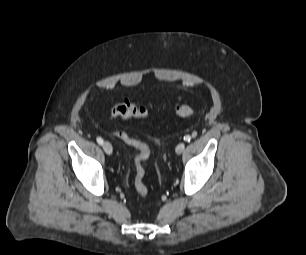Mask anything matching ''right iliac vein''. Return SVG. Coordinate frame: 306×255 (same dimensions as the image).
I'll list each match as a JSON object with an SVG mask.
<instances>
[{
  "instance_id": "1",
  "label": "right iliac vein",
  "mask_w": 306,
  "mask_h": 255,
  "mask_svg": "<svg viewBox=\"0 0 306 255\" xmlns=\"http://www.w3.org/2000/svg\"><path fill=\"white\" fill-rule=\"evenodd\" d=\"M103 149H104L105 153L108 154V155H111L112 152H113L112 145L107 141L103 143Z\"/></svg>"
}]
</instances>
